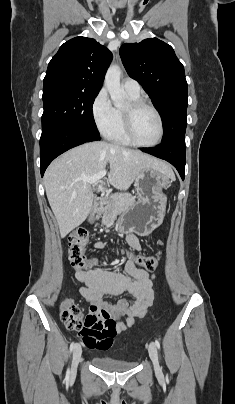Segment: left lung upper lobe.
Masks as SVG:
<instances>
[{
    "label": "left lung upper lobe",
    "instance_id": "5c2ea615",
    "mask_svg": "<svg viewBox=\"0 0 235 404\" xmlns=\"http://www.w3.org/2000/svg\"><path fill=\"white\" fill-rule=\"evenodd\" d=\"M120 56L130 77L137 80L162 116V142L184 138L188 105L184 66L173 48L157 39L126 43Z\"/></svg>",
    "mask_w": 235,
    "mask_h": 404
}]
</instances>
